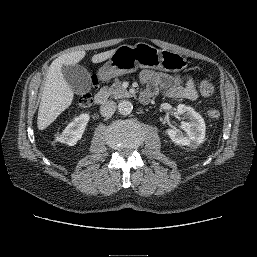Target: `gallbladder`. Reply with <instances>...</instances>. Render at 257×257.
<instances>
[{
	"label": "gallbladder",
	"mask_w": 257,
	"mask_h": 257,
	"mask_svg": "<svg viewBox=\"0 0 257 257\" xmlns=\"http://www.w3.org/2000/svg\"><path fill=\"white\" fill-rule=\"evenodd\" d=\"M62 74L76 94H84L91 88L90 73L81 65H63Z\"/></svg>",
	"instance_id": "obj_1"
}]
</instances>
